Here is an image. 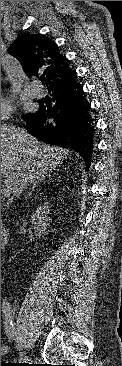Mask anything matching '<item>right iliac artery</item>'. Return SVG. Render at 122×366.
<instances>
[{
	"label": "right iliac artery",
	"instance_id": "obj_1",
	"mask_svg": "<svg viewBox=\"0 0 122 366\" xmlns=\"http://www.w3.org/2000/svg\"><path fill=\"white\" fill-rule=\"evenodd\" d=\"M2 312H3V317H4V327H5V331L6 333L10 336V338H12L14 336V326H13V322L11 319V307L10 304L7 301H4L2 303Z\"/></svg>",
	"mask_w": 122,
	"mask_h": 366
}]
</instances>
